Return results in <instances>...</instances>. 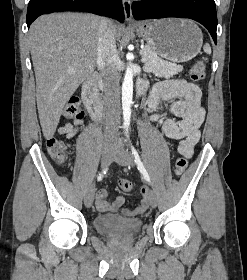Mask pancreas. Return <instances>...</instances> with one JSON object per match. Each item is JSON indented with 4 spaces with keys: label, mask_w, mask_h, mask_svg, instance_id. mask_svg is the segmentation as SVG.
Masks as SVG:
<instances>
[{
    "label": "pancreas",
    "mask_w": 247,
    "mask_h": 280,
    "mask_svg": "<svg viewBox=\"0 0 247 280\" xmlns=\"http://www.w3.org/2000/svg\"><path fill=\"white\" fill-rule=\"evenodd\" d=\"M148 60L144 62V70L149 73H153L160 78H170L181 72L183 67L165 61L157 56L156 52L151 49L149 45H145L141 50Z\"/></svg>",
    "instance_id": "1"
}]
</instances>
